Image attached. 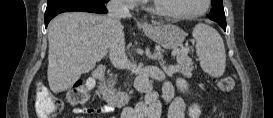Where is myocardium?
I'll return each instance as SVG.
<instances>
[{"label": "myocardium", "instance_id": "f54148a6", "mask_svg": "<svg viewBox=\"0 0 273 118\" xmlns=\"http://www.w3.org/2000/svg\"><path fill=\"white\" fill-rule=\"evenodd\" d=\"M160 0H151L150 1V11L158 16L166 17V18H177V19H190L195 18L200 15H203L207 12L210 6V0H203L204 6L201 10L191 12V13H178L173 11L164 10L160 5Z\"/></svg>", "mask_w": 273, "mask_h": 118}]
</instances>
